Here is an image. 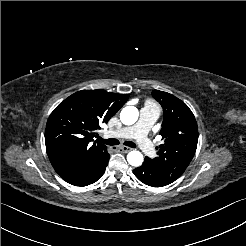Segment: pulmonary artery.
<instances>
[{"label": "pulmonary artery", "instance_id": "pulmonary-artery-1", "mask_svg": "<svg viewBox=\"0 0 246 246\" xmlns=\"http://www.w3.org/2000/svg\"><path fill=\"white\" fill-rule=\"evenodd\" d=\"M160 116L158 107H144L141 110V117L138 123L126 126L117 131L114 135L117 137H131L135 139L141 149L150 156H153L155 150L147 137L148 129L156 122Z\"/></svg>", "mask_w": 246, "mask_h": 246}]
</instances>
